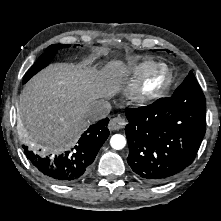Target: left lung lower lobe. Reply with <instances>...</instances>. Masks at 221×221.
Returning a JSON list of instances; mask_svg holds the SVG:
<instances>
[{
    "mask_svg": "<svg viewBox=\"0 0 221 221\" xmlns=\"http://www.w3.org/2000/svg\"><path fill=\"white\" fill-rule=\"evenodd\" d=\"M206 104L171 97L125 111L129 156L135 174L150 183L169 181L196 157L205 135Z\"/></svg>",
    "mask_w": 221,
    "mask_h": 221,
    "instance_id": "obj_1",
    "label": "left lung lower lobe"
}]
</instances>
